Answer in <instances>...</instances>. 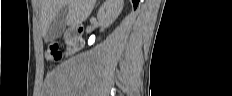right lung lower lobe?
<instances>
[{
	"label": "right lung lower lobe",
	"mask_w": 232,
	"mask_h": 96,
	"mask_svg": "<svg viewBox=\"0 0 232 96\" xmlns=\"http://www.w3.org/2000/svg\"><path fill=\"white\" fill-rule=\"evenodd\" d=\"M132 2H133V5H134V8H136L138 3H139V0H132Z\"/></svg>",
	"instance_id": "right-lung-lower-lobe-1"
}]
</instances>
